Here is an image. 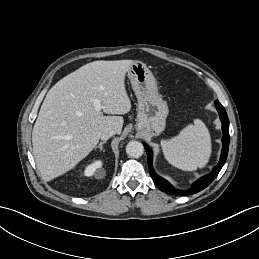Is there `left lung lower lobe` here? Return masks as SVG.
Returning a JSON list of instances; mask_svg holds the SVG:
<instances>
[{"label": "left lung lower lobe", "instance_id": "0a47b994", "mask_svg": "<svg viewBox=\"0 0 259 259\" xmlns=\"http://www.w3.org/2000/svg\"><path fill=\"white\" fill-rule=\"evenodd\" d=\"M217 110L220 115V120L222 121V130H223V138H222V153L220 157V161L216 167L213 168L212 172L206 176H203L200 178L198 181L193 183L192 187L188 190H177L170 183H168L165 179L162 177L158 176L153 168H152V153L149 149V147L144 143L145 150L147 152V161H148V166H149V171L150 175L155 182V184L159 187V189L162 192H166L169 194H174V195H191L194 193H198L199 191L203 190L206 188L218 175L219 171L225 164V161L227 159L228 155V148H229V119L226 114V111L224 107L219 103L218 100L215 101Z\"/></svg>", "mask_w": 259, "mask_h": 259}]
</instances>
